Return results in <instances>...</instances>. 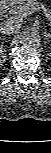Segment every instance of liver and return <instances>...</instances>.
Returning a JSON list of instances; mask_svg holds the SVG:
<instances>
[{
  "label": "liver",
  "mask_w": 51,
  "mask_h": 153,
  "mask_svg": "<svg viewBox=\"0 0 51 153\" xmlns=\"http://www.w3.org/2000/svg\"><path fill=\"white\" fill-rule=\"evenodd\" d=\"M5 1H8V0H1V2H5Z\"/></svg>",
  "instance_id": "1"
}]
</instances>
